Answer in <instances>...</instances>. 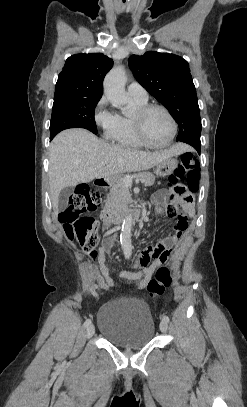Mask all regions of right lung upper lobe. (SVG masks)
<instances>
[{"mask_svg": "<svg viewBox=\"0 0 247 407\" xmlns=\"http://www.w3.org/2000/svg\"><path fill=\"white\" fill-rule=\"evenodd\" d=\"M112 66L113 60L101 53L71 56L58 77L54 98H101L103 79Z\"/></svg>", "mask_w": 247, "mask_h": 407, "instance_id": "cb5924a9", "label": "right lung upper lobe"}]
</instances>
